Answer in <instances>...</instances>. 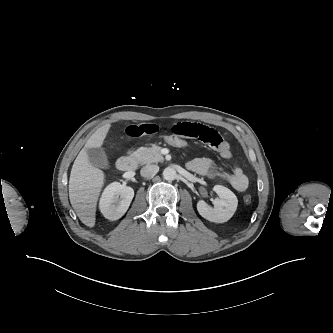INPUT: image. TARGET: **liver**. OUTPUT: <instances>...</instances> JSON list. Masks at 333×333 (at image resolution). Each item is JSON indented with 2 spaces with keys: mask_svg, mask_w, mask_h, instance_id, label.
Segmentation results:
<instances>
[{
  "mask_svg": "<svg viewBox=\"0 0 333 333\" xmlns=\"http://www.w3.org/2000/svg\"><path fill=\"white\" fill-rule=\"evenodd\" d=\"M111 125L98 128L87 140L77 155L69 178V199L79 219L88 227H94L96 221L97 200L104 185V173L92 166L87 149L103 145Z\"/></svg>",
  "mask_w": 333,
  "mask_h": 333,
  "instance_id": "1",
  "label": "liver"
}]
</instances>
